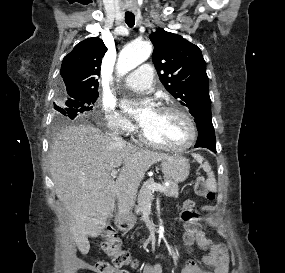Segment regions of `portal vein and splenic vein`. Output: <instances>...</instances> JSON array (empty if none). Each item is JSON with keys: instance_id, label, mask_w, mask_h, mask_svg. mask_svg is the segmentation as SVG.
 I'll use <instances>...</instances> for the list:
<instances>
[{"instance_id": "portal-vein-and-splenic-vein-1", "label": "portal vein and splenic vein", "mask_w": 285, "mask_h": 273, "mask_svg": "<svg viewBox=\"0 0 285 273\" xmlns=\"http://www.w3.org/2000/svg\"><path fill=\"white\" fill-rule=\"evenodd\" d=\"M110 174L113 178H115L118 174V170L114 169L111 171ZM149 189H151L152 191L154 190L165 191L166 190L163 185L158 184V183H153L152 185L149 186Z\"/></svg>"}]
</instances>
